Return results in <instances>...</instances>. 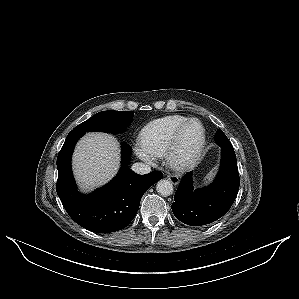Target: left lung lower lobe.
<instances>
[{"label":"left lung lower lobe","instance_id":"1","mask_svg":"<svg viewBox=\"0 0 299 299\" xmlns=\"http://www.w3.org/2000/svg\"><path fill=\"white\" fill-rule=\"evenodd\" d=\"M221 146V167L215 181L208 187L193 189L192 172L186 173L178 186L172 204L175 217L191 226L210 224L231 208L240 185L237 161L230 142Z\"/></svg>","mask_w":299,"mask_h":299}]
</instances>
